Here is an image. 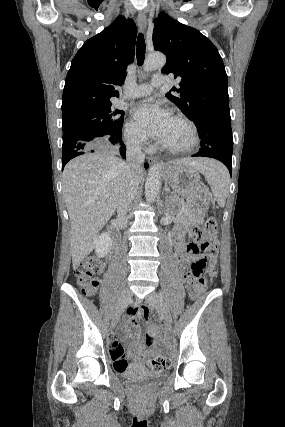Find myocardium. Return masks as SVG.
<instances>
[{
  "label": "myocardium",
  "mask_w": 285,
  "mask_h": 427,
  "mask_svg": "<svg viewBox=\"0 0 285 427\" xmlns=\"http://www.w3.org/2000/svg\"><path fill=\"white\" fill-rule=\"evenodd\" d=\"M172 118L177 119L187 125L191 133V141L189 144L183 147L172 146L162 141L161 142L162 147L174 153H186L193 150L200 143L199 132L196 124L183 114H175L172 116Z\"/></svg>",
  "instance_id": "1"
}]
</instances>
